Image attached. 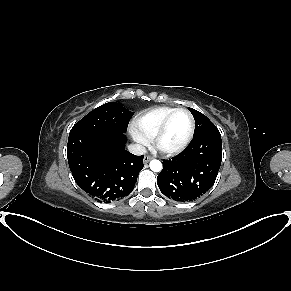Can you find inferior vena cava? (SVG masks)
<instances>
[{
    "label": "inferior vena cava",
    "mask_w": 291,
    "mask_h": 291,
    "mask_svg": "<svg viewBox=\"0 0 291 291\" xmlns=\"http://www.w3.org/2000/svg\"><path fill=\"white\" fill-rule=\"evenodd\" d=\"M128 149L134 155H144L146 153V148L140 144H132Z\"/></svg>",
    "instance_id": "1"
}]
</instances>
